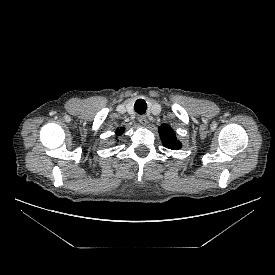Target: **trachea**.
<instances>
[{
    "label": "trachea",
    "mask_w": 275,
    "mask_h": 275,
    "mask_svg": "<svg viewBox=\"0 0 275 275\" xmlns=\"http://www.w3.org/2000/svg\"><path fill=\"white\" fill-rule=\"evenodd\" d=\"M134 109L138 114H144L147 109V103L143 99H138L134 104Z\"/></svg>",
    "instance_id": "obj_1"
}]
</instances>
